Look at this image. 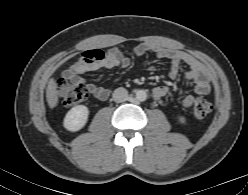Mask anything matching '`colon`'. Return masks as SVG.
<instances>
[{
  "mask_svg": "<svg viewBox=\"0 0 248 195\" xmlns=\"http://www.w3.org/2000/svg\"><path fill=\"white\" fill-rule=\"evenodd\" d=\"M56 90L66 106L77 105L88 96V90L83 83L72 82L67 78H60L57 80ZM211 110L212 105L207 99L198 97L195 100L193 106L195 117L204 118L211 112Z\"/></svg>",
  "mask_w": 248,
  "mask_h": 195,
  "instance_id": "colon-1",
  "label": "colon"
}]
</instances>
